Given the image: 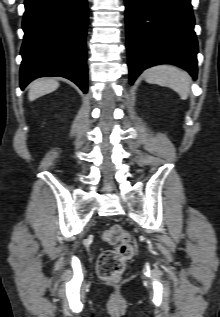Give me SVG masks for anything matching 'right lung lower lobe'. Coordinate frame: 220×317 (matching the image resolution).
<instances>
[{
    "label": "right lung lower lobe",
    "instance_id": "1",
    "mask_svg": "<svg viewBox=\"0 0 220 317\" xmlns=\"http://www.w3.org/2000/svg\"><path fill=\"white\" fill-rule=\"evenodd\" d=\"M20 87L38 77H65L87 93L86 0H25Z\"/></svg>",
    "mask_w": 220,
    "mask_h": 317
}]
</instances>
